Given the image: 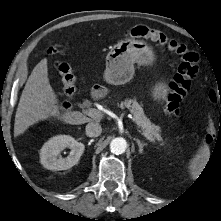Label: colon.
Masks as SVG:
<instances>
[{
    "instance_id": "obj_1",
    "label": "colon",
    "mask_w": 221,
    "mask_h": 221,
    "mask_svg": "<svg viewBox=\"0 0 221 221\" xmlns=\"http://www.w3.org/2000/svg\"><path fill=\"white\" fill-rule=\"evenodd\" d=\"M126 36L131 39H148L165 46L171 52L181 57V63L177 73L174 75L168 88L165 90V109L167 113L174 118L180 116V103L187 95L191 87L192 80L199 71L200 56L197 52L189 49L185 44L176 40L168 39L162 32L143 25H137L131 28ZM59 50L55 47L49 49V53L55 55ZM55 68L62 77L65 92L68 95L76 91L77 77L73 68L62 61L55 63ZM214 137L212 122L209 121L206 132L203 136L205 142H210ZM194 140L198 137L194 136Z\"/></svg>"
}]
</instances>
